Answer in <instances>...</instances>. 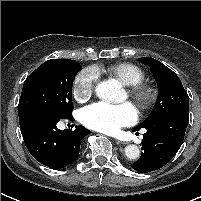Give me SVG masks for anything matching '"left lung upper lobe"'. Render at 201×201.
I'll return each instance as SVG.
<instances>
[{"label": "left lung upper lobe", "mask_w": 201, "mask_h": 201, "mask_svg": "<svg viewBox=\"0 0 201 201\" xmlns=\"http://www.w3.org/2000/svg\"><path fill=\"white\" fill-rule=\"evenodd\" d=\"M139 61L150 67L158 85V98L150 115L134 130H140L152 120L168 113H189V97L179 77L156 59L141 57Z\"/></svg>", "instance_id": "5c2ea615"}]
</instances>
